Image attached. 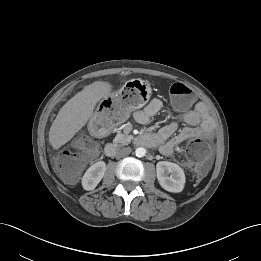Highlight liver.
Here are the masks:
<instances>
[{
    "label": "liver",
    "instance_id": "6515ba94",
    "mask_svg": "<svg viewBox=\"0 0 261 261\" xmlns=\"http://www.w3.org/2000/svg\"><path fill=\"white\" fill-rule=\"evenodd\" d=\"M112 86L108 82L95 81L84 87L59 110L49 131V142L54 149L71 140L87 123L102 98L109 96Z\"/></svg>",
    "mask_w": 261,
    "mask_h": 261
}]
</instances>
